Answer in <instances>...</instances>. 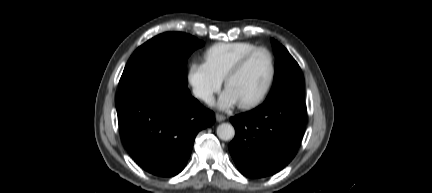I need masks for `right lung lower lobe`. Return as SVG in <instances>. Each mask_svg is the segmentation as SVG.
Segmentation results:
<instances>
[{
    "instance_id": "98d812e1",
    "label": "right lung lower lobe",
    "mask_w": 432,
    "mask_h": 193,
    "mask_svg": "<svg viewBox=\"0 0 432 193\" xmlns=\"http://www.w3.org/2000/svg\"><path fill=\"white\" fill-rule=\"evenodd\" d=\"M122 141L136 163L157 176H175L185 167L197 133L215 115L189 91L177 92L146 82L119 91L116 97Z\"/></svg>"
}]
</instances>
